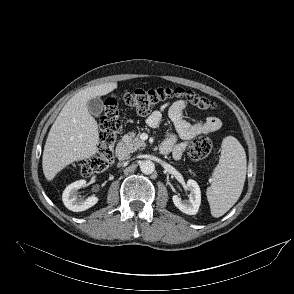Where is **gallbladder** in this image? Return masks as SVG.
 Masks as SVG:
<instances>
[{"mask_svg":"<svg viewBox=\"0 0 294 294\" xmlns=\"http://www.w3.org/2000/svg\"><path fill=\"white\" fill-rule=\"evenodd\" d=\"M103 107V101L99 97L92 98L87 102V109L89 113L95 117L101 114Z\"/></svg>","mask_w":294,"mask_h":294,"instance_id":"obj_1","label":"gallbladder"}]
</instances>
